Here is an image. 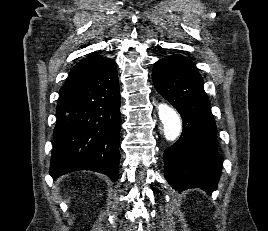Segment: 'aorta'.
Returning a JSON list of instances; mask_svg holds the SVG:
<instances>
[{
    "mask_svg": "<svg viewBox=\"0 0 268 231\" xmlns=\"http://www.w3.org/2000/svg\"><path fill=\"white\" fill-rule=\"evenodd\" d=\"M158 115L163 123L164 136L168 141L176 140L181 133V119L177 112L166 104H159Z\"/></svg>",
    "mask_w": 268,
    "mask_h": 231,
    "instance_id": "aorta-1",
    "label": "aorta"
}]
</instances>
